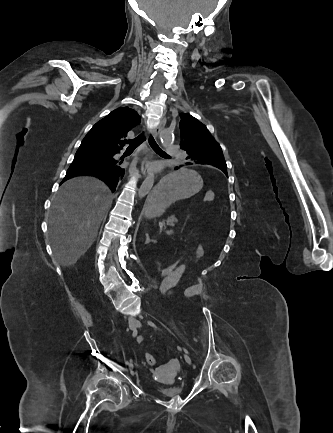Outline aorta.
I'll return each instance as SVG.
<instances>
[{
	"label": "aorta",
	"instance_id": "aorta-1",
	"mask_svg": "<svg viewBox=\"0 0 333 433\" xmlns=\"http://www.w3.org/2000/svg\"><path fill=\"white\" fill-rule=\"evenodd\" d=\"M158 135L163 146H167L171 144L174 140L172 132L168 129H161ZM153 184H154V174H149L138 190V197L140 199L144 198L152 189Z\"/></svg>",
	"mask_w": 333,
	"mask_h": 433
}]
</instances>
